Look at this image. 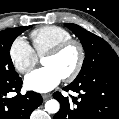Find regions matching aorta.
<instances>
[{"mask_svg": "<svg viewBox=\"0 0 119 119\" xmlns=\"http://www.w3.org/2000/svg\"><path fill=\"white\" fill-rule=\"evenodd\" d=\"M59 108H60V104L57 100L55 99H51V100H48L46 103H45V110L48 112V113H57L59 111Z\"/></svg>", "mask_w": 119, "mask_h": 119, "instance_id": "1", "label": "aorta"}]
</instances>
